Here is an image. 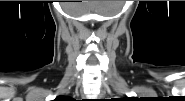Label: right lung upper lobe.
Returning <instances> with one entry per match:
<instances>
[{
  "label": "right lung upper lobe",
  "mask_w": 185,
  "mask_h": 101,
  "mask_svg": "<svg viewBox=\"0 0 185 101\" xmlns=\"http://www.w3.org/2000/svg\"><path fill=\"white\" fill-rule=\"evenodd\" d=\"M66 97L60 96L57 98V100L65 99Z\"/></svg>",
  "instance_id": "cb5924a9"
}]
</instances>
